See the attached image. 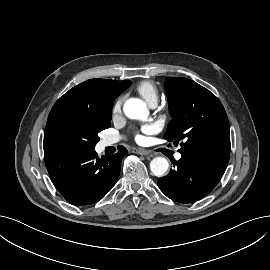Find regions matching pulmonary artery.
<instances>
[{
    "instance_id": "1",
    "label": "pulmonary artery",
    "mask_w": 270,
    "mask_h": 270,
    "mask_svg": "<svg viewBox=\"0 0 270 270\" xmlns=\"http://www.w3.org/2000/svg\"><path fill=\"white\" fill-rule=\"evenodd\" d=\"M156 104L157 103H152V104H150V106L151 107H155ZM119 140H120L119 137H107V138L104 139V142L103 143H104L105 146H110V145H113V144L117 143ZM175 158L177 160H179L181 158V154L180 153H177L175 155Z\"/></svg>"
}]
</instances>
